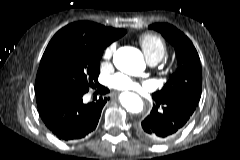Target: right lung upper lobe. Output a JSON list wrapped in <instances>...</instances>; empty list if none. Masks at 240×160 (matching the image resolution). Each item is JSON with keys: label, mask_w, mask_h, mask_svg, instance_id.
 I'll return each mask as SVG.
<instances>
[{"label": "right lung upper lobe", "mask_w": 240, "mask_h": 160, "mask_svg": "<svg viewBox=\"0 0 240 160\" xmlns=\"http://www.w3.org/2000/svg\"><path fill=\"white\" fill-rule=\"evenodd\" d=\"M63 31L69 32L88 45L104 48L126 33L123 29L105 27L88 21L69 24L58 32Z\"/></svg>", "instance_id": "1"}]
</instances>
